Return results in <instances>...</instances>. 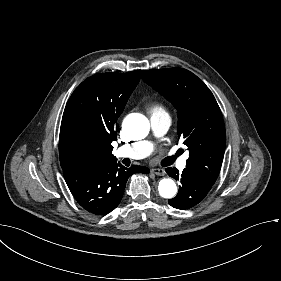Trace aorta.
<instances>
[{
	"label": "aorta",
	"mask_w": 281,
	"mask_h": 281,
	"mask_svg": "<svg viewBox=\"0 0 281 281\" xmlns=\"http://www.w3.org/2000/svg\"><path fill=\"white\" fill-rule=\"evenodd\" d=\"M123 128L130 137L140 140L148 135L150 125L144 115L133 113L125 118ZM158 190L161 197L171 199L177 193V186L172 179L165 178L159 182Z\"/></svg>",
	"instance_id": "aorta-1"
}]
</instances>
